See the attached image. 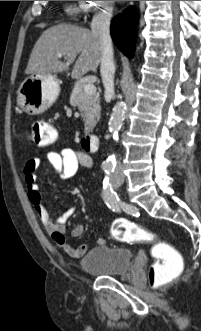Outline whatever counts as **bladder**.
<instances>
[{
    "instance_id": "obj_1",
    "label": "bladder",
    "mask_w": 201,
    "mask_h": 331,
    "mask_svg": "<svg viewBox=\"0 0 201 331\" xmlns=\"http://www.w3.org/2000/svg\"><path fill=\"white\" fill-rule=\"evenodd\" d=\"M133 253L126 248L98 245L90 249L81 259L80 267L97 277H122L133 261Z\"/></svg>"
}]
</instances>
